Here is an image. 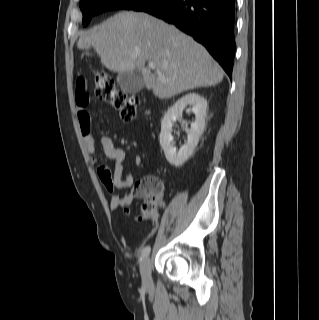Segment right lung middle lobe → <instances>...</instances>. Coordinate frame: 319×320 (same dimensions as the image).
Wrapping results in <instances>:
<instances>
[{"mask_svg":"<svg viewBox=\"0 0 319 320\" xmlns=\"http://www.w3.org/2000/svg\"><path fill=\"white\" fill-rule=\"evenodd\" d=\"M152 0H81L80 9L83 13V25L86 26L94 15L114 10V9H133L151 2Z\"/></svg>","mask_w":319,"mask_h":320,"instance_id":"1","label":"right lung middle lobe"}]
</instances>
